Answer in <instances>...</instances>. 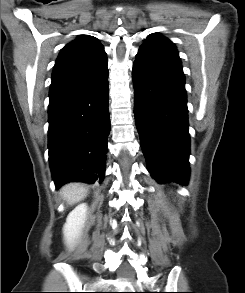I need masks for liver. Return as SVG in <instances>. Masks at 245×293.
<instances>
[{
  "instance_id": "6515ba94",
  "label": "liver",
  "mask_w": 245,
  "mask_h": 293,
  "mask_svg": "<svg viewBox=\"0 0 245 293\" xmlns=\"http://www.w3.org/2000/svg\"><path fill=\"white\" fill-rule=\"evenodd\" d=\"M61 195L69 205L76 204L83 200L88 193V189L80 183H70L62 187Z\"/></svg>"
}]
</instances>
